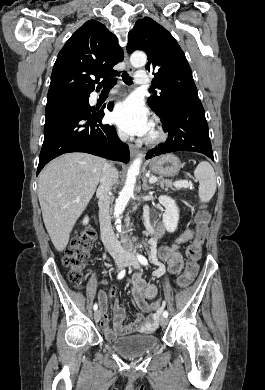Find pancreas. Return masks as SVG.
<instances>
[{
  "label": "pancreas",
  "instance_id": "obj_1",
  "mask_svg": "<svg viewBox=\"0 0 265 390\" xmlns=\"http://www.w3.org/2000/svg\"><path fill=\"white\" fill-rule=\"evenodd\" d=\"M157 184L160 185V186H165L166 190L171 189V190L176 191V190H180L181 188H183V186L176 185V183H172L171 180L163 179V178H157ZM189 187H192L191 183H190Z\"/></svg>",
  "mask_w": 265,
  "mask_h": 390
}]
</instances>
